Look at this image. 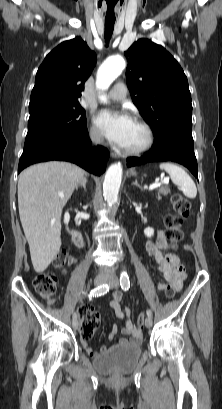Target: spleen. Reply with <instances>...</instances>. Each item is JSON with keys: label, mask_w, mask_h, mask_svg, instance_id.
I'll return each mask as SVG.
<instances>
[{"label": "spleen", "mask_w": 222, "mask_h": 409, "mask_svg": "<svg viewBox=\"0 0 222 409\" xmlns=\"http://www.w3.org/2000/svg\"><path fill=\"white\" fill-rule=\"evenodd\" d=\"M160 169L165 170L173 183L180 186L183 194L188 198H195L197 195V188L191 177L180 166L173 163H162Z\"/></svg>", "instance_id": "3e777b00"}]
</instances>
